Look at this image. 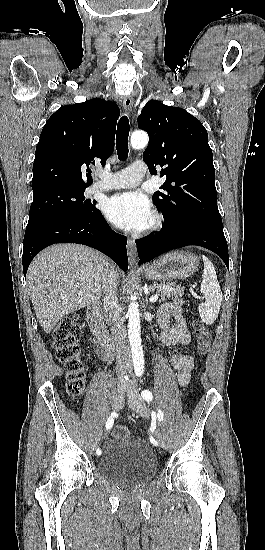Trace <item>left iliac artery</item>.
Wrapping results in <instances>:
<instances>
[{
    "mask_svg": "<svg viewBox=\"0 0 265 550\" xmlns=\"http://www.w3.org/2000/svg\"><path fill=\"white\" fill-rule=\"evenodd\" d=\"M141 395L147 402H150L153 399V395L149 390L142 391ZM157 417L159 421L163 420L164 414L161 410H158ZM150 441L153 445H158L157 441L153 437L150 438Z\"/></svg>",
    "mask_w": 265,
    "mask_h": 550,
    "instance_id": "obj_1",
    "label": "left iliac artery"
}]
</instances>
